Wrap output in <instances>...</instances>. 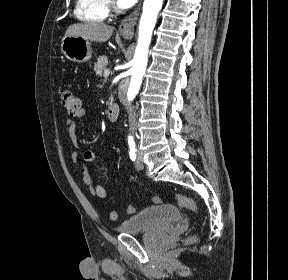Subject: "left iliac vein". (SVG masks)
Returning a JSON list of instances; mask_svg holds the SVG:
<instances>
[{"label":"left iliac vein","instance_id":"1","mask_svg":"<svg viewBox=\"0 0 288 280\" xmlns=\"http://www.w3.org/2000/svg\"><path fill=\"white\" fill-rule=\"evenodd\" d=\"M135 166L138 170H142L144 168V164L139 158H137L135 162Z\"/></svg>","mask_w":288,"mask_h":280}]
</instances>
